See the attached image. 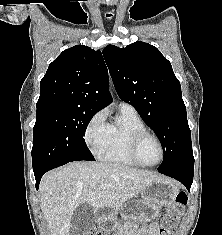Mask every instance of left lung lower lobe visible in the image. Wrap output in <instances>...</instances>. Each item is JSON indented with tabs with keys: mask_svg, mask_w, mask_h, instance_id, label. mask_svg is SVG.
<instances>
[{
	"mask_svg": "<svg viewBox=\"0 0 222 235\" xmlns=\"http://www.w3.org/2000/svg\"><path fill=\"white\" fill-rule=\"evenodd\" d=\"M160 173L172 177L180 181L183 185L186 186L187 190H190V187L193 182V169L189 168H177L170 170H158Z\"/></svg>",
	"mask_w": 222,
	"mask_h": 235,
	"instance_id": "1",
	"label": "left lung lower lobe"
}]
</instances>
